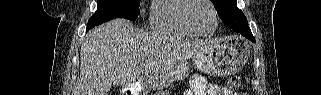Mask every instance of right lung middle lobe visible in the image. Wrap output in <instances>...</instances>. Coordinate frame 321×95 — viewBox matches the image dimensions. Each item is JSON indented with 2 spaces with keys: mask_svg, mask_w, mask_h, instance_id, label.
Instances as JSON below:
<instances>
[{
  "mask_svg": "<svg viewBox=\"0 0 321 95\" xmlns=\"http://www.w3.org/2000/svg\"><path fill=\"white\" fill-rule=\"evenodd\" d=\"M98 8L89 19L87 31L114 18L136 20L140 10V0H98Z\"/></svg>",
  "mask_w": 321,
  "mask_h": 95,
  "instance_id": "1",
  "label": "right lung middle lobe"
}]
</instances>
